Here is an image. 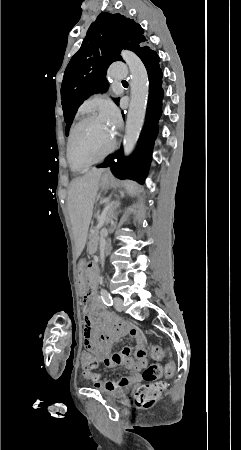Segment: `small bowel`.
I'll use <instances>...</instances> for the list:
<instances>
[{
	"label": "small bowel",
	"instance_id": "1",
	"mask_svg": "<svg viewBox=\"0 0 241 450\" xmlns=\"http://www.w3.org/2000/svg\"><path fill=\"white\" fill-rule=\"evenodd\" d=\"M82 316L84 317L83 344L85 347H94L97 362L103 363L107 368L121 366L127 375L114 380H101V376L94 372H84L86 379L93 382L96 388H103L107 392H116L126 387L139 384L143 380L142 371L148 364L146 349V338L140 329L128 322H124L123 328L119 330L118 324H105L102 330L98 325V316H91L88 307H93V298H83ZM129 336L135 340L134 346H124L119 352L111 354L112 346L121 337Z\"/></svg>",
	"mask_w": 241,
	"mask_h": 450
}]
</instances>
